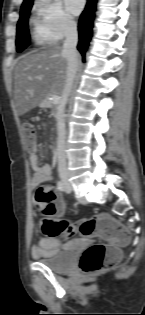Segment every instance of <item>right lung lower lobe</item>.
Masks as SVG:
<instances>
[{"label":"right lung lower lobe","instance_id":"obj_1","mask_svg":"<svg viewBox=\"0 0 145 315\" xmlns=\"http://www.w3.org/2000/svg\"><path fill=\"white\" fill-rule=\"evenodd\" d=\"M96 2L97 0H88V4L79 19L78 24L79 43L77 48L81 52L83 60L85 59V53L89 45V41L92 37L93 19L96 10Z\"/></svg>","mask_w":145,"mask_h":315}]
</instances>
